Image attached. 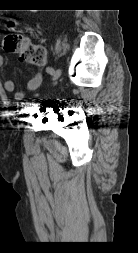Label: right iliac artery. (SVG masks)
<instances>
[{"mask_svg": "<svg viewBox=\"0 0 138 253\" xmlns=\"http://www.w3.org/2000/svg\"><path fill=\"white\" fill-rule=\"evenodd\" d=\"M56 71H54L53 67H47L46 68V74L47 75H53Z\"/></svg>", "mask_w": 138, "mask_h": 253, "instance_id": "1", "label": "right iliac artery"}]
</instances>
